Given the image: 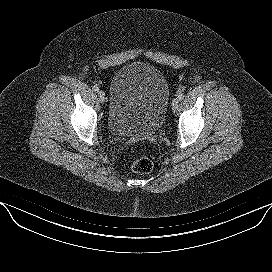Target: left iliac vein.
<instances>
[{
    "instance_id": "left-iliac-vein-1",
    "label": "left iliac vein",
    "mask_w": 272,
    "mask_h": 272,
    "mask_svg": "<svg viewBox=\"0 0 272 272\" xmlns=\"http://www.w3.org/2000/svg\"><path fill=\"white\" fill-rule=\"evenodd\" d=\"M179 103H180L179 98L173 99V101H172V110L173 111L178 109Z\"/></svg>"
}]
</instances>
